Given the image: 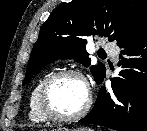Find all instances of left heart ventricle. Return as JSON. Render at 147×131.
I'll return each mask as SVG.
<instances>
[{
    "label": "left heart ventricle",
    "instance_id": "obj_1",
    "mask_svg": "<svg viewBox=\"0 0 147 131\" xmlns=\"http://www.w3.org/2000/svg\"><path fill=\"white\" fill-rule=\"evenodd\" d=\"M88 90L83 81L76 77H66L56 82L49 93L52 107L60 114L72 115L86 104Z\"/></svg>",
    "mask_w": 147,
    "mask_h": 131
}]
</instances>
